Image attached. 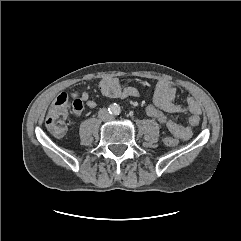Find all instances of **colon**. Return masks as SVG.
Returning <instances> with one entry per match:
<instances>
[{
  "instance_id": "1",
  "label": "colon",
  "mask_w": 241,
  "mask_h": 241,
  "mask_svg": "<svg viewBox=\"0 0 241 241\" xmlns=\"http://www.w3.org/2000/svg\"><path fill=\"white\" fill-rule=\"evenodd\" d=\"M81 110L82 102L80 100H74L69 103L66 94H60L52 103L47 113L45 121L47 129L55 136H62L65 133L67 119L71 111L77 113ZM146 113L152 120L164 126L171 133V136L165 139V143L168 146H175L179 140L189 139L193 134L192 128L177 124L155 104H148L146 106ZM199 123V116L192 115L189 117V124L191 126H197Z\"/></svg>"
}]
</instances>
